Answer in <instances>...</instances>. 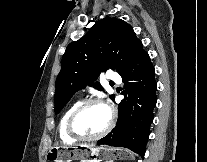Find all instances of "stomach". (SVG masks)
<instances>
[{
  "label": "stomach",
  "mask_w": 207,
  "mask_h": 162,
  "mask_svg": "<svg viewBox=\"0 0 207 162\" xmlns=\"http://www.w3.org/2000/svg\"><path fill=\"white\" fill-rule=\"evenodd\" d=\"M129 154L124 150H116L106 146H86L75 147H53L47 153L48 162H72L76 160L86 162H113V160H123Z\"/></svg>",
  "instance_id": "stomach-1"
}]
</instances>
